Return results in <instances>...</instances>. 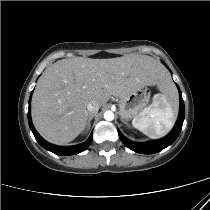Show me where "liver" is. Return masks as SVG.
<instances>
[{"label":"liver","instance_id":"liver-1","mask_svg":"<svg viewBox=\"0 0 210 210\" xmlns=\"http://www.w3.org/2000/svg\"><path fill=\"white\" fill-rule=\"evenodd\" d=\"M167 82L163 66L146 55L62 59L38 81L31 105L33 124L45 140L66 144L85 129L88 103L101 107L111 96L123 98L145 86L164 91Z\"/></svg>","mask_w":210,"mask_h":210}]
</instances>
